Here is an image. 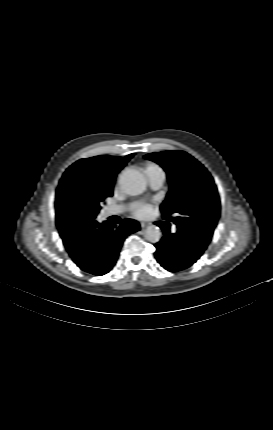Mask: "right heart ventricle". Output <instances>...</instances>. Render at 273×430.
<instances>
[{
	"mask_svg": "<svg viewBox=\"0 0 273 430\" xmlns=\"http://www.w3.org/2000/svg\"><path fill=\"white\" fill-rule=\"evenodd\" d=\"M159 166L156 164H147L146 168H145V173L147 174L150 170L153 169H158Z\"/></svg>",
	"mask_w": 273,
	"mask_h": 430,
	"instance_id": "right-heart-ventricle-1",
	"label": "right heart ventricle"
}]
</instances>
